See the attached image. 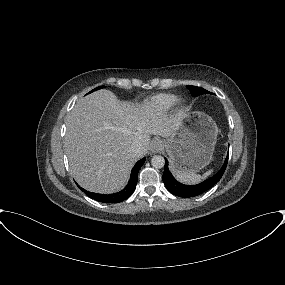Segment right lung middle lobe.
Wrapping results in <instances>:
<instances>
[{"label":"right lung middle lobe","mask_w":285,"mask_h":285,"mask_svg":"<svg viewBox=\"0 0 285 285\" xmlns=\"http://www.w3.org/2000/svg\"><path fill=\"white\" fill-rule=\"evenodd\" d=\"M100 88H103V86L97 87V88L93 89L91 92H93V91H95V90H98V89H100Z\"/></svg>","instance_id":"right-lung-middle-lobe-1"}]
</instances>
